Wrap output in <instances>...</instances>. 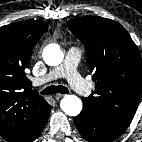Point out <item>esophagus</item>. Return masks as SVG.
<instances>
[{
    "label": "esophagus",
    "instance_id": "1",
    "mask_svg": "<svg viewBox=\"0 0 142 142\" xmlns=\"http://www.w3.org/2000/svg\"><path fill=\"white\" fill-rule=\"evenodd\" d=\"M64 95H65V94L57 93V94H55L54 98H55L56 100H60L62 97H64Z\"/></svg>",
    "mask_w": 142,
    "mask_h": 142
}]
</instances>
